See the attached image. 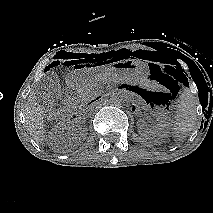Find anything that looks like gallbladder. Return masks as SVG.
Here are the masks:
<instances>
[{"label": "gallbladder", "instance_id": "gallbladder-1", "mask_svg": "<svg viewBox=\"0 0 213 213\" xmlns=\"http://www.w3.org/2000/svg\"><path fill=\"white\" fill-rule=\"evenodd\" d=\"M38 91L43 98H51L54 102L62 101L60 80L54 72L46 74L39 82Z\"/></svg>", "mask_w": 213, "mask_h": 213}]
</instances>
